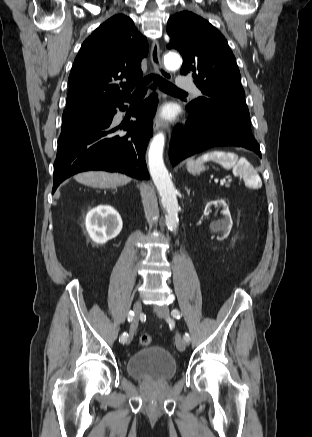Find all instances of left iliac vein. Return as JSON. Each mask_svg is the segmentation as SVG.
Wrapping results in <instances>:
<instances>
[{"label":"left iliac vein","mask_w":312,"mask_h":437,"mask_svg":"<svg viewBox=\"0 0 312 437\" xmlns=\"http://www.w3.org/2000/svg\"><path fill=\"white\" fill-rule=\"evenodd\" d=\"M154 310L160 318L165 319L169 317V308L166 305L155 306ZM175 343L179 351L183 352L185 350L186 342L179 334L176 335Z\"/></svg>","instance_id":"1"}]
</instances>
